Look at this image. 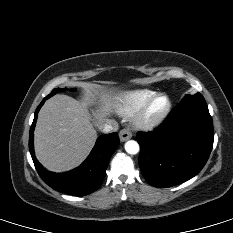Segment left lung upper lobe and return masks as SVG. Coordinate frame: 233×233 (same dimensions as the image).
I'll return each mask as SVG.
<instances>
[{
    "instance_id": "1",
    "label": "left lung upper lobe",
    "mask_w": 233,
    "mask_h": 233,
    "mask_svg": "<svg viewBox=\"0 0 233 233\" xmlns=\"http://www.w3.org/2000/svg\"><path fill=\"white\" fill-rule=\"evenodd\" d=\"M188 98H200V99H203V96H202L199 92H197V94H195L194 96L186 95V96L183 98V100L188 99ZM183 100H182V101H183Z\"/></svg>"
}]
</instances>
